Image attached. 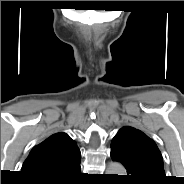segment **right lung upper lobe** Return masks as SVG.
<instances>
[{"instance_id":"1","label":"right lung upper lobe","mask_w":184,"mask_h":184,"mask_svg":"<svg viewBox=\"0 0 184 184\" xmlns=\"http://www.w3.org/2000/svg\"><path fill=\"white\" fill-rule=\"evenodd\" d=\"M80 150L76 142L66 133L51 135L35 146L22 166L29 180H54L80 161Z\"/></svg>"}]
</instances>
